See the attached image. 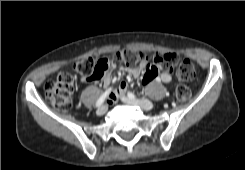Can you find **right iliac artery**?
Returning <instances> with one entry per match:
<instances>
[{"instance_id": "obj_1", "label": "right iliac artery", "mask_w": 245, "mask_h": 170, "mask_svg": "<svg viewBox=\"0 0 245 170\" xmlns=\"http://www.w3.org/2000/svg\"><path fill=\"white\" fill-rule=\"evenodd\" d=\"M110 92H111V88H109L108 90H106L101 95V97L96 102V107H100L102 105V103L105 101V99L109 96Z\"/></svg>"}]
</instances>
